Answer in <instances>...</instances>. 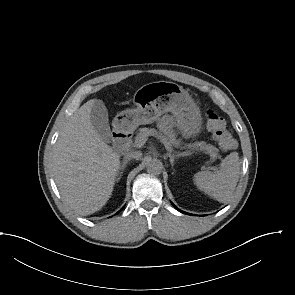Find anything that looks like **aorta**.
<instances>
[{
	"label": "aorta",
	"mask_w": 295,
	"mask_h": 295,
	"mask_svg": "<svg viewBox=\"0 0 295 295\" xmlns=\"http://www.w3.org/2000/svg\"><path fill=\"white\" fill-rule=\"evenodd\" d=\"M147 172L151 174H160L163 168L162 162L158 159H150L146 163Z\"/></svg>",
	"instance_id": "762f6f07"
}]
</instances>
